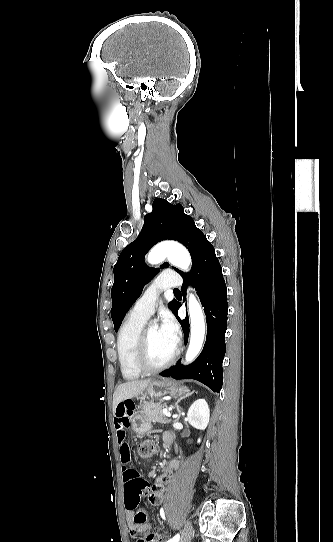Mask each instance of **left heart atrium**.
<instances>
[{"label":"left heart atrium","mask_w":333,"mask_h":542,"mask_svg":"<svg viewBox=\"0 0 333 542\" xmlns=\"http://www.w3.org/2000/svg\"><path fill=\"white\" fill-rule=\"evenodd\" d=\"M161 332L176 346L180 340V329L175 318L165 312L162 316Z\"/></svg>","instance_id":"obj_1"}]
</instances>
